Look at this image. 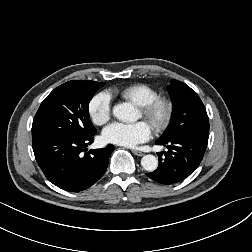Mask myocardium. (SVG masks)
I'll return each instance as SVG.
<instances>
[{
    "instance_id": "myocardium-1",
    "label": "myocardium",
    "mask_w": 252,
    "mask_h": 252,
    "mask_svg": "<svg viewBox=\"0 0 252 252\" xmlns=\"http://www.w3.org/2000/svg\"><path fill=\"white\" fill-rule=\"evenodd\" d=\"M142 116L150 122L156 131L165 130L172 119L173 104L165 97H156L140 107Z\"/></svg>"
}]
</instances>
